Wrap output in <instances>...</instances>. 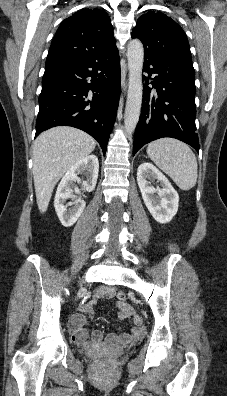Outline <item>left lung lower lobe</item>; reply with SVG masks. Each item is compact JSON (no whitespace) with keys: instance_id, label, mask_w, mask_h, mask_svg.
I'll use <instances>...</instances> for the list:
<instances>
[{"instance_id":"0a47b994","label":"left lung lower lobe","mask_w":227,"mask_h":396,"mask_svg":"<svg viewBox=\"0 0 227 396\" xmlns=\"http://www.w3.org/2000/svg\"><path fill=\"white\" fill-rule=\"evenodd\" d=\"M143 71L148 77L144 76L143 103L135 130L133 156L143 145L162 137L179 139L199 152L193 65L145 54ZM151 76L153 81L149 82Z\"/></svg>"}]
</instances>
